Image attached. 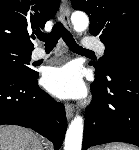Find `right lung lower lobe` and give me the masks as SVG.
<instances>
[{
	"label": "right lung lower lobe",
	"mask_w": 139,
	"mask_h": 150,
	"mask_svg": "<svg viewBox=\"0 0 139 150\" xmlns=\"http://www.w3.org/2000/svg\"><path fill=\"white\" fill-rule=\"evenodd\" d=\"M38 73L24 76L0 70V125L32 128L58 150L67 128L65 108L37 84Z\"/></svg>",
	"instance_id": "obj_1"
}]
</instances>
